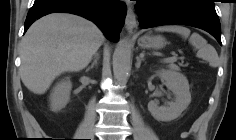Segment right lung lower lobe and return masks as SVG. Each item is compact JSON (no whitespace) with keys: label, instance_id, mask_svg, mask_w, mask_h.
Masks as SVG:
<instances>
[{"label":"right lung lower lobe","instance_id":"98d812e1","mask_svg":"<svg viewBox=\"0 0 236 140\" xmlns=\"http://www.w3.org/2000/svg\"><path fill=\"white\" fill-rule=\"evenodd\" d=\"M67 12L93 21L113 42L119 38L126 16L125 4L113 0H35L28 12L24 33L44 15Z\"/></svg>","mask_w":236,"mask_h":140}]
</instances>
